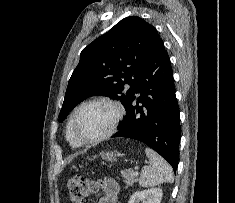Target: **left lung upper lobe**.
<instances>
[{
  "mask_svg": "<svg viewBox=\"0 0 235 203\" xmlns=\"http://www.w3.org/2000/svg\"><path fill=\"white\" fill-rule=\"evenodd\" d=\"M160 40L152 25L130 16L85 47L68 83L61 121L81 101L96 95L118 99L126 109Z\"/></svg>",
  "mask_w": 235,
  "mask_h": 203,
  "instance_id": "obj_1",
  "label": "left lung upper lobe"
}]
</instances>
